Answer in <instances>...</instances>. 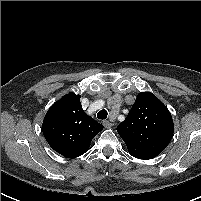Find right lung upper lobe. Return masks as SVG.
<instances>
[{
	"label": "right lung upper lobe",
	"instance_id": "cb5924a9",
	"mask_svg": "<svg viewBox=\"0 0 201 201\" xmlns=\"http://www.w3.org/2000/svg\"><path fill=\"white\" fill-rule=\"evenodd\" d=\"M80 95L69 93L48 110L42 131L51 148L59 154L74 158L84 154L103 125L82 109Z\"/></svg>",
	"mask_w": 201,
	"mask_h": 201
}]
</instances>
